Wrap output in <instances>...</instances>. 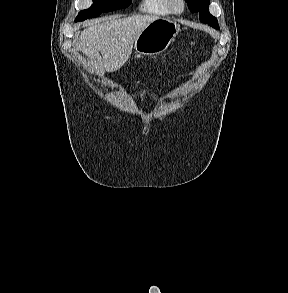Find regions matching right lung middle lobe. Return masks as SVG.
<instances>
[{
  "mask_svg": "<svg viewBox=\"0 0 288 293\" xmlns=\"http://www.w3.org/2000/svg\"><path fill=\"white\" fill-rule=\"evenodd\" d=\"M94 4L86 10L79 12L75 22L84 21L87 18L97 17L102 12H110L128 7L132 0H93Z\"/></svg>",
  "mask_w": 288,
  "mask_h": 293,
  "instance_id": "1",
  "label": "right lung middle lobe"
}]
</instances>
